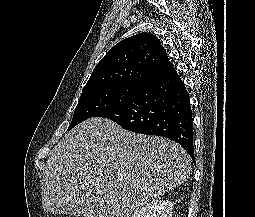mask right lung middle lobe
<instances>
[{"label": "right lung middle lobe", "instance_id": "right-lung-middle-lobe-1", "mask_svg": "<svg viewBox=\"0 0 255 217\" xmlns=\"http://www.w3.org/2000/svg\"><path fill=\"white\" fill-rule=\"evenodd\" d=\"M146 85L113 84L82 91L69 130L82 121L112 110L139 95Z\"/></svg>", "mask_w": 255, "mask_h": 217}]
</instances>
